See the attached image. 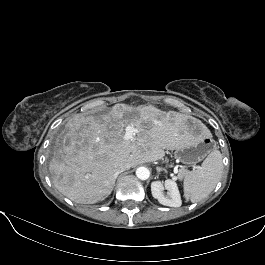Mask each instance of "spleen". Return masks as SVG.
<instances>
[{
	"mask_svg": "<svg viewBox=\"0 0 265 265\" xmlns=\"http://www.w3.org/2000/svg\"><path fill=\"white\" fill-rule=\"evenodd\" d=\"M223 172L220 151H212L200 167L189 171L184 176V196L191 202L206 198L219 182Z\"/></svg>",
	"mask_w": 265,
	"mask_h": 265,
	"instance_id": "3e777b00",
	"label": "spleen"
}]
</instances>
